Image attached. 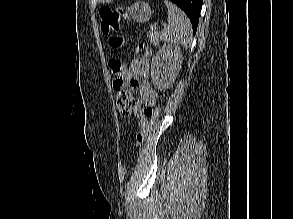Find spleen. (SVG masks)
<instances>
[{
  "mask_svg": "<svg viewBox=\"0 0 293 219\" xmlns=\"http://www.w3.org/2000/svg\"><path fill=\"white\" fill-rule=\"evenodd\" d=\"M168 9V25L160 32V38L170 44L188 48L192 41V26L186 14L176 5L165 0Z\"/></svg>",
  "mask_w": 293,
  "mask_h": 219,
  "instance_id": "obj_1",
  "label": "spleen"
}]
</instances>
